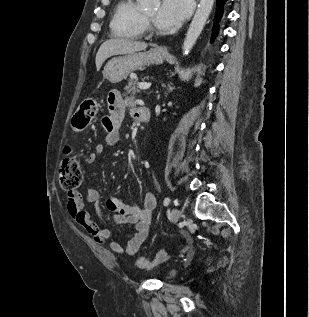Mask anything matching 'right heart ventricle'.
<instances>
[{
  "label": "right heart ventricle",
  "mask_w": 309,
  "mask_h": 317,
  "mask_svg": "<svg viewBox=\"0 0 309 317\" xmlns=\"http://www.w3.org/2000/svg\"><path fill=\"white\" fill-rule=\"evenodd\" d=\"M113 33L122 38L138 39L145 30L144 15L134 0H120L111 22Z\"/></svg>",
  "instance_id": "1"
}]
</instances>
